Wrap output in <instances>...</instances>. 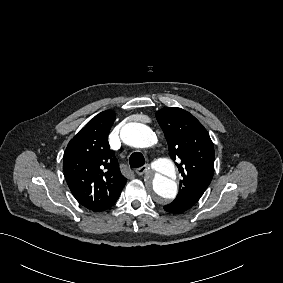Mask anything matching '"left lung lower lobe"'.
I'll return each instance as SVG.
<instances>
[{
    "instance_id": "1",
    "label": "left lung lower lobe",
    "mask_w": 283,
    "mask_h": 283,
    "mask_svg": "<svg viewBox=\"0 0 283 283\" xmlns=\"http://www.w3.org/2000/svg\"><path fill=\"white\" fill-rule=\"evenodd\" d=\"M194 204L195 202L190 200H180L164 206V210L170 213L180 214L190 209Z\"/></svg>"
}]
</instances>
